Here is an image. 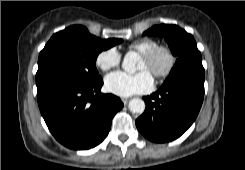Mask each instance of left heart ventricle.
Instances as JSON below:
<instances>
[{
    "instance_id": "obj_1",
    "label": "left heart ventricle",
    "mask_w": 245,
    "mask_h": 170,
    "mask_svg": "<svg viewBox=\"0 0 245 170\" xmlns=\"http://www.w3.org/2000/svg\"><path fill=\"white\" fill-rule=\"evenodd\" d=\"M167 57L164 53H160L157 55V57L152 61H146L142 58H140L138 63V70H148L151 73L159 72L163 70L167 65Z\"/></svg>"
}]
</instances>
